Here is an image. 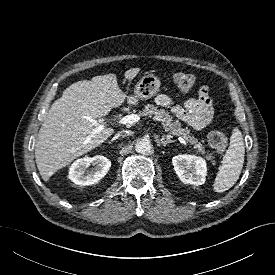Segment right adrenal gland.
<instances>
[{
    "label": "right adrenal gland",
    "instance_id": "obj_1",
    "mask_svg": "<svg viewBox=\"0 0 275 275\" xmlns=\"http://www.w3.org/2000/svg\"><path fill=\"white\" fill-rule=\"evenodd\" d=\"M114 140H115V138H113L111 141H109V144H110V143H113V142H114Z\"/></svg>",
    "mask_w": 275,
    "mask_h": 275
}]
</instances>
